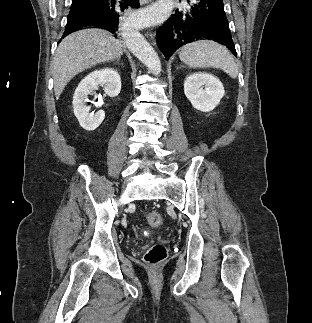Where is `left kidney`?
<instances>
[{"instance_id":"obj_1","label":"left kidney","mask_w":312,"mask_h":323,"mask_svg":"<svg viewBox=\"0 0 312 323\" xmlns=\"http://www.w3.org/2000/svg\"><path fill=\"white\" fill-rule=\"evenodd\" d=\"M184 94L193 108L200 112H211L218 106L225 92L223 84L213 74L196 72L187 76L184 82Z\"/></svg>"}]
</instances>
